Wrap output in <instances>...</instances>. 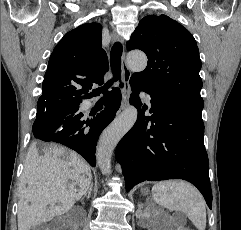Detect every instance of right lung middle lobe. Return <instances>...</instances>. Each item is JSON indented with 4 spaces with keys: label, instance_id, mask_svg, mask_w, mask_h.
<instances>
[{
    "label": "right lung middle lobe",
    "instance_id": "1",
    "mask_svg": "<svg viewBox=\"0 0 241 230\" xmlns=\"http://www.w3.org/2000/svg\"><path fill=\"white\" fill-rule=\"evenodd\" d=\"M61 105H67L69 107V111H68V116L65 118H56L54 120H51L50 123L53 127L57 128V129H61V128H65L68 127L69 125L75 123L76 121H78L81 116L82 113L78 111V102H69V103H63V104H48L46 105L48 107V109H55ZM43 105H37V108H42Z\"/></svg>",
    "mask_w": 241,
    "mask_h": 230
}]
</instances>
